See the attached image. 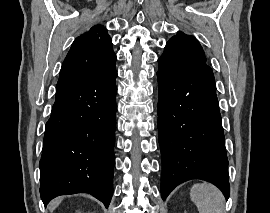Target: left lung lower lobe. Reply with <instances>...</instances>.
<instances>
[{
    "instance_id": "obj_1",
    "label": "left lung lower lobe",
    "mask_w": 270,
    "mask_h": 213,
    "mask_svg": "<svg viewBox=\"0 0 270 213\" xmlns=\"http://www.w3.org/2000/svg\"><path fill=\"white\" fill-rule=\"evenodd\" d=\"M157 76L162 199L191 179L213 183L228 199V159L214 79L198 72L158 70Z\"/></svg>"
}]
</instances>
